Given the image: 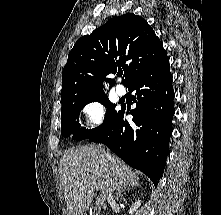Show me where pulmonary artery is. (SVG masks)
<instances>
[{"mask_svg":"<svg viewBox=\"0 0 221 215\" xmlns=\"http://www.w3.org/2000/svg\"><path fill=\"white\" fill-rule=\"evenodd\" d=\"M116 90V93L119 95V96H123L125 93H126V89L123 85L121 84H118L115 88Z\"/></svg>","mask_w":221,"mask_h":215,"instance_id":"pulmonary-artery-1","label":"pulmonary artery"}]
</instances>
